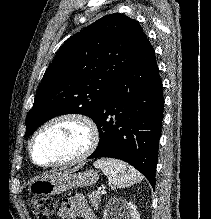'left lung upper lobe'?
Returning a JSON list of instances; mask_svg holds the SVG:
<instances>
[{
    "instance_id": "left-lung-upper-lobe-1",
    "label": "left lung upper lobe",
    "mask_w": 211,
    "mask_h": 219,
    "mask_svg": "<svg viewBox=\"0 0 211 219\" xmlns=\"http://www.w3.org/2000/svg\"><path fill=\"white\" fill-rule=\"evenodd\" d=\"M147 41L139 23L120 13L70 37L42 78L27 114L25 137L58 115L83 114L94 120L106 93Z\"/></svg>"
}]
</instances>
